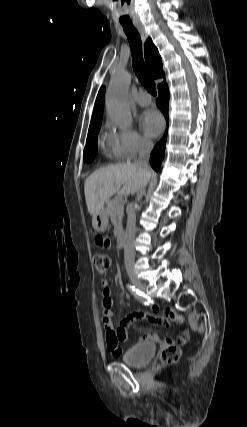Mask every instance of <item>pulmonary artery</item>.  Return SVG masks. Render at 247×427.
<instances>
[{"instance_id":"1","label":"pulmonary artery","mask_w":247,"mask_h":427,"mask_svg":"<svg viewBox=\"0 0 247 427\" xmlns=\"http://www.w3.org/2000/svg\"><path fill=\"white\" fill-rule=\"evenodd\" d=\"M136 103L140 106H147L151 103V97L148 94L141 93L137 96Z\"/></svg>"}]
</instances>
